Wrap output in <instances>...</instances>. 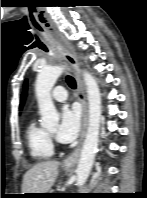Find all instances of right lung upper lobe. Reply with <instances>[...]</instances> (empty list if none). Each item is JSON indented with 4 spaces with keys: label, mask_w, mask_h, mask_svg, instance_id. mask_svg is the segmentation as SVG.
I'll list each match as a JSON object with an SVG mask.
<instances>
[{
    "label": "right lung upper lobe",
    "mask_w": 147,
    "mask_h": 198,
    "mask_svg": "<svg viewBox=\"0 0 147 198\" xmlns=\"http://www.w3.org/2000/svg\"><path fill=\"white\" fill-rule=\"evenodd\" d=\"M23 104H24V95H22L21 97L20 108L23 106Z\"/></svg>",
    "instance_id": "obj_1"
}]
</instances>
